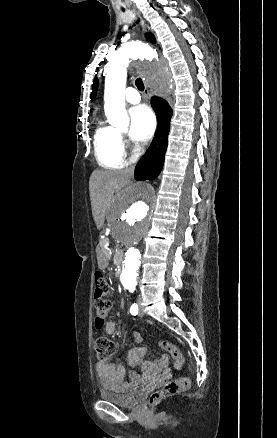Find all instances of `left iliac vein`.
<instances>
[{"label": "left iliac vein", "instance_id": "4c4485c4", "mask_svg": "<svg viewBox=\"0 0 277 438\" xmlns=\"http://www.w3.org/2000/svg\"><path fill=\"white\" fill-rule=\"evenodd\" d=\"M140 303H141V300L139 299V300H138V305H139V311H138V314H139V316H143V315H144V312H143V310H142V308H141V306H140Z\"/></svg>", "mask_w": 277, "mask_h": 438}]
</instances>
